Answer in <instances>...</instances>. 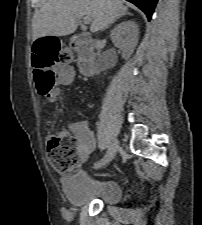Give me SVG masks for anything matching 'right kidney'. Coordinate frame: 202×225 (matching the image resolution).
Returning a JSON list of instances; mask_svg holds the SVG:
<instances>
[{
  "label": "right kidney",
  "instance_id": "ca27d5eb",
  "mask_svg": "<svg viewBox=\"0 0 202 225\" xmlns=\"http://www.w3.org/2000/svg\"><path fill=\"white\" fill-rule=\"evenodd\" d=\"M110 37L114 45L123 51V57L127 59L138 43V25L134 21L121 22L111 31Z\"/></svg>",
  "mask_w": 202,
  "mask_h": 225
}]
</instances>
